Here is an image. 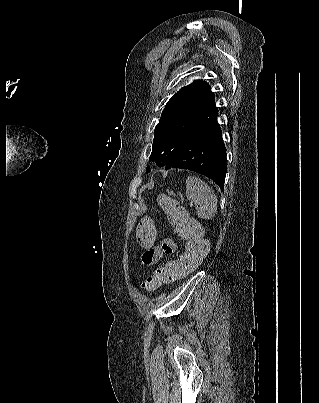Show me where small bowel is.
Masks as SVG:
<instances>
[{"label": "small bowel", "mask_w": 319, "mask_h": 403, "mask_svg": "<svg viewBox=\"0 0 319 403\" xmlns=\"http://www.w3.org/2000/svg\"><path fill=\"white\" fill-rule=\"evenodd\" d=\"M175 251H176V244L171 239H167L162 243V245L159 248L146 249L143 258L146 263L155 264L157 262V259L161 255H171L175 253ZM185 275H181L180 278Z\"/></svg>", "instance_id": "obj_1"}]
</instances>
